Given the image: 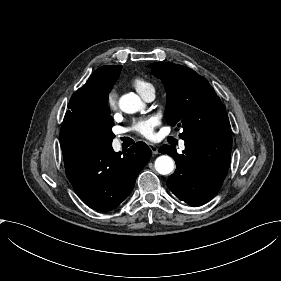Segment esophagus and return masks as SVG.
Masks as SVG:
<instances>
[{
    "label": "esophagus",
    "instance_id": "esophagus-1",
    "mask_svg": "<svg viewBox=\"0 0 281 281\" xmlns=\"http://www.w3.org/2000/svg\"><path fill=\"white\" fill-rule=\"evenodd\" d=\"M148 146L150 147L151 151L153 154H157L158 153V148L157 146H155L154 144L152 143H148Z\"/></svg>",
    "mask_w": 281,
    "mask_h": 281
}]
</instances>
